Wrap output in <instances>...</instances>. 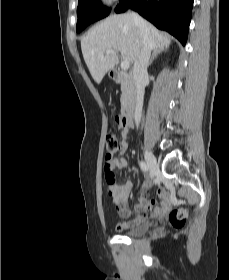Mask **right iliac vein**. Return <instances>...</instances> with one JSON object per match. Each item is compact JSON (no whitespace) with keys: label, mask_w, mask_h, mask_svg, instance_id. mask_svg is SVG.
<instances>
[{"label":"right iliac vein","mask_w":229,"mask_h":280,"mask_svg":"<svg viewBox=\"0 0 229 280\" xmlns=\"http://www.w3.org/2000/svg\"><path fill=\"white\" fill-rule=\"evenodd\" d=\"M144 154H145L146 163L149 168L151 177L153 178L155 176V174L158 172L159 167L157 165L154 155L150 151L144 150Z\"/></svg>","instance_id":"63e3f726"}]
</instances>
